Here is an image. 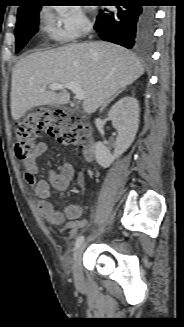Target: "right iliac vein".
Instances as JSON below:
<instances>
[{
    "mask_svg": "<svg viewBox=\"0 0 184 327\" xmlns=\"http://www.w3.org/2000/svg\"><path fill=\"white\" fill-rule=\"evenodd\" d=\"M98 234H96L95 236H98ZM83 246H80L76 256H75V260H74V266H73V271H74V280L76 285L80 286L83 283V273H82V265H81V257H82V253H83Z\"/></svg>",
    "mask_w": 184,
    "mask_h": 327,
    "instance_id": "1",
    "label": "right iliac vein"
}]
</instances>
